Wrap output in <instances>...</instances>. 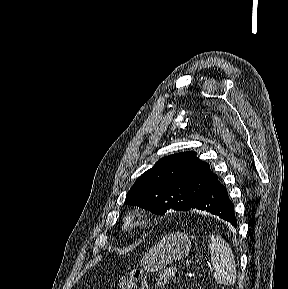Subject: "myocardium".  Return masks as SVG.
I'll list each match as a JSON object with an SVG mask.
<instances>
[{
    "label": "myocardium",
    "instance_id": "obj_1",
    "mask_svg": "<svg viewBox=\"0 0 288 289\" xmlns=\"http://www.w3.org/2000/svg\"><path fill=\"white\" fill-rule=\"evenodd\" d=\"M149 221L148 211L142 206H135L128 210L122 221V229L125 231H134L147 225Z\"/></svg>",
    "mask_w": 288,
    "mask_h": 289
}]
</instances>
